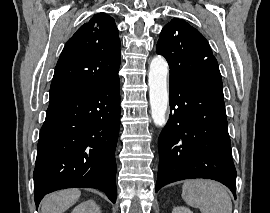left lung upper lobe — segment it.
Listing matches in <instances>:
<instances>
[{
	"label": "left lung upper lobe",
	"mask_w": 270,
	"mask_h": 213,
	"mask_svg": "<svg viewBox=\"0 0 270 213\" xmlns=\"http://www.w3.org/2000/svg\"><path fill=\"white\" fill-rule=\"evenodd\" d=\"M156 51L169 64V82L196 84L223 94L218 63L207 40L184 20L173 19L162 29Z\"/></svg>",
	"instance_id": "left-lung-upper-lobe-1"
}]
</instances>
